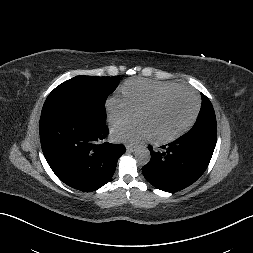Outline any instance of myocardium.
<instances>
[{
    "mask_svg": "<svg viewBox=\"0 0 253 253\" xmlns=\"http://www.w3.org/2000/svg\"><path fill=\"white\" fill-rule=\"evenodd\" d=\"M180 91H186L193 96V98L195 100L194 112H193L191 118L188 120V122L184 126H182L179 130H177L176 132H174L168 136H165V137H153V141L155 143L165 144V143L172 142V141L176 140L177 138H179L181 135H183L185 132H187L192 127V125L196 121L199 111H200L201 104H200L199 96L191 88L178 85L176 87H173L171 89H168V90L158 93L151 100H149L147 103H145L143 106H141L137 111V114H138L144 110L150 109V108L154 107L155 105H157L162 99H164L168 95L176 93V92H180Z\"/></svg>",
    "mask_w": 253,
    "mask_h": 253,
    "instance_id": "obj_1",
    "label": "myocardium"
}]
</instances>
